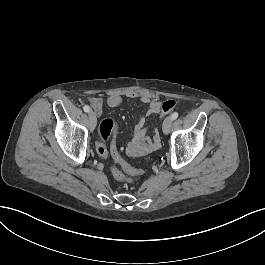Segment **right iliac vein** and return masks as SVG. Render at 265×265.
<instances>
[{"instance_id":"1","label":"right iliac vein","mask_w":265,"mask_h":265,"mask_svg":"<svg viewBox=\"0 0 265 265\" xmlns=\"http://www.w3.org/2000/svg\"><path fill=\"white\" fill-rule=\"evenodd\" d=\"M88 120H89V127L93 131L96 127V122H97L96 116H95L93 111L89 112V119Z\"/></svg>"}]
</instances>
